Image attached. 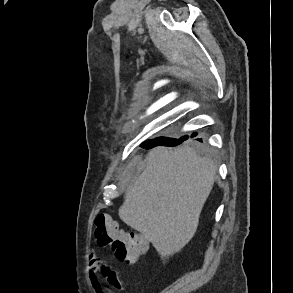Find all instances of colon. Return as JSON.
<instances>
[{
    "mask_svg": "<svg viewBox=\"0 0 293 293\" xmlns=\"http://www.w3.org/2000/svg\"><path fill=\"white\" fill-rule=\"evenodd\" d=\"M94 236L101 245L110 248L115 257L129 264L135 263L146 251L148 241L136 231L125 232L106 213H98L94 219Z\"/></svg>",
    "mask_w": 293,
    "mask_h": 293,
    "instance_id": "5ec220e1",
    "label": "colon"
}]
</instances>
